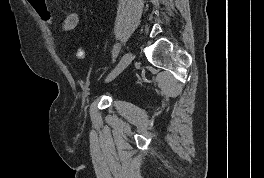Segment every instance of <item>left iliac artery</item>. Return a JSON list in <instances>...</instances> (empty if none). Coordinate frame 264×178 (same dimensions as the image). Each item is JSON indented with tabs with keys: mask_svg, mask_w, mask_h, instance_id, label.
<instances>
[{
	"mask_svg": "<svg viewBox=\"0 0 264 178\" xmlns=\"http://www.w3.org/2000/svg\"><path fill=\"white\" fill-rule=\"evenodd\" d=\"M120 51V44H116L113 48V61L115 60V58L117 57L118 53Z\"/></svg>",
	"mask_w": 264,
	"mask_h": 178,
	"instance_id": "obj_1",
	"label": "left iliac artery"
}]
</instances>
